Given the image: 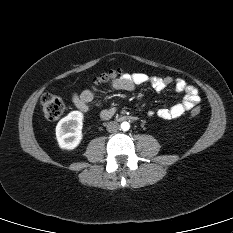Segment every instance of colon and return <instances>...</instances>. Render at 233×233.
Instances as JSON below:
<instances>
[{
    "label": "colon",
    "instance_id": "colon-1",
    "mask_svg": "<svg viewBox=\"0 0 233 233\" xmlns=\"http://www.w3.org/2000/svg\"><path fill=\"white\" fill-rule=\"evenodd\" d=\"M121 75L122 70L120 68H111L99 74L94 81L96 84H100L119 78ZM41 106L45 118L49 121L58 120L66 109L63 99L52 94H45L42 96ZM201 110L200 106H195L191 110V115L197 116L201 113Z\"/></svg>",
    "mask_w": 233,
    "mask_h": 233
}]
</instances>
